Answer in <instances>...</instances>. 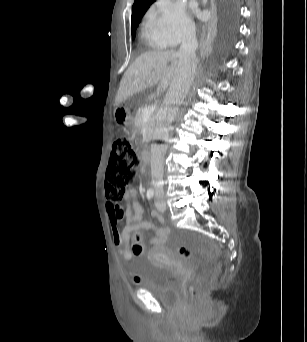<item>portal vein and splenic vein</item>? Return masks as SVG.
<instances>
[{"instance_id": "1", "label": "portal vein and splenic vein", "mask_w": 307, "mask_h": 342, "mask_svg": "<svg viewBox=\"0 0 307 342\" xmlns=\"http://www.w3.org/2000/svg\"><path fill=\"white\" fill-rule=\"evenodd\" d=\"M158 104L156 102H152L150 105L147 106V112L144 114L145 118L151 117L153 112L156 111Z\"/></svg>"}]
</instances>
